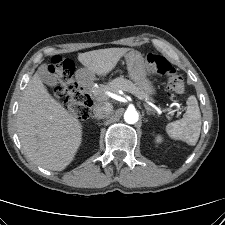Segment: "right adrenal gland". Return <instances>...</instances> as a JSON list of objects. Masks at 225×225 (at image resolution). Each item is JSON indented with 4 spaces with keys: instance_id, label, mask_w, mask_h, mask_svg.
Returning a JSON list of instances; mask_svg holds the SVG:
<instances>
[{
    "instance_id": "1",
    "label": "right adrenal gland",
    "mask_w": 225,
    "mask_h": 225,
    "mask_svg": "<svg viewBox=\"0 0 225 225\" xmlns=\"http://www.w3.org/2000/svg\"><path fill=\"white\" fill-rule=\"evenodd\" d=\"M91 118L99 121V118H96L95 116H91Z\"/></svg>"
}]
</instances>
